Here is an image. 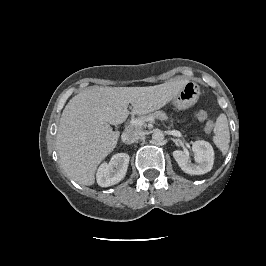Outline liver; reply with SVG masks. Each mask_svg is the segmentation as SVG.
Listing matches in <instances>:
<instances>
[{
    "instance_id": "obj_1",
    "label": "liver",
    "mask_w": 266,
    "mask_h": 266,
    "mask_svg": "<svg viewBox=\"0 0 266 266\" xmlns=\"http://www.w3.org/2000/svg\"><path fill=\"white\" fill-rule=\"evenodd\" d=\"M187 80H173L148 87L91 86L65 106L56 135L60 164L66 175L79 184L95 183L98 165L114 150L120 133L111 125L128 115H143L162 108Z\"/></svg>"
}]
</instances>
